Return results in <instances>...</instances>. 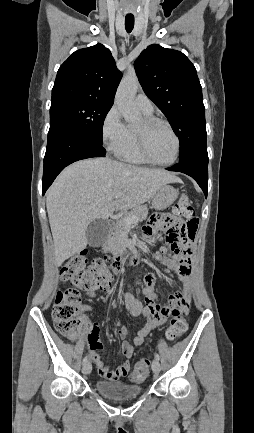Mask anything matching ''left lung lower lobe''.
I'll return each instance as SVG.
<instances>
[{"label": "left lung lower lobe", "instance_id": "1", "mask_svg": "<svg viewBox=\"0 0 254 433\" xmlns=\"http://www.w3.org/2000/svg\"><path fill=\"white\" fill-rule=\"evenodd\" d=\"M169 171H177L191 176L202 188L205 197H207L208 186V156H193L184 161H179L178 164Z\"/></svg>", "mask_w": 254, "mask_h": 433}]
</instances>
